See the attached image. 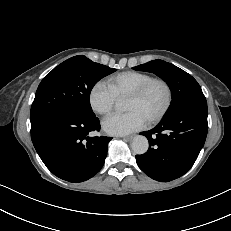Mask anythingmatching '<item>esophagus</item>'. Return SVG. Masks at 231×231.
Wrapping results in <instances>:
<instances>
[{
  "mask_svg": "<svg viewBox=\"0 0 231 231\" xmlns=\"http://www.w3.org/2000/svg\"><path fill=\"white\" fill-rule=\"evenodd\" d=\"M123 140H127V141H129V140H131L132 139V136H124V137H121Z\"/></svg>",
  "mask_w": 231,
  "mask_h": 231,
  "instance_id": "esophagus-1",
  "label": "esophagus"
}]
</instances>
